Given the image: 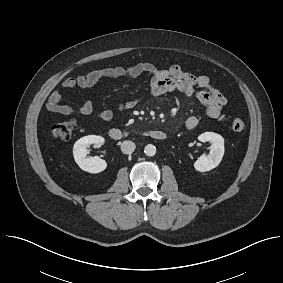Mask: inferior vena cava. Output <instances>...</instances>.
<instances>
[{
    "instance_id": "inferior-vena-cava-1",
    "label": "inferior vena cava",
    "mask_w": 283,
    "mask_h": 283,
    "mask_svg": "<svg viewBox=\"0 0 283 283\" xmlns=\"http://www.w3.org/2000/svg\"><path fill=\"white\" fill-rule=\"evenodd\" d=\"M135 148H136L135 143L132 141L125 140L121 143V151L124 154H132Z\"/></svg>"
}]
</instances>
